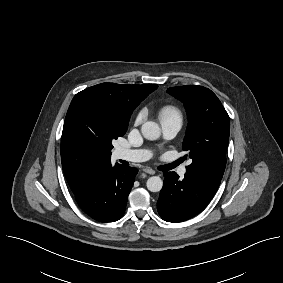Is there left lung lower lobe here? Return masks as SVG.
<instances>
[{
	"mask_svg": "<svg viewBox=\"0 0 283 283\" xmlns=\"http://www.w3.org/2000/svg\"><path fill=\"white\" fill-rule=\"evenodd\" d=\"M157 209L167 222H182L197 215L212 199L216 191L185 174L183 179L175 172H165Z\"/></svg>",
	"mask_w": 283,
	"mask_h": 283,
	"instance_id": "0a47b994",
	"label": "left lung lower lobe"
}]
</instances>
